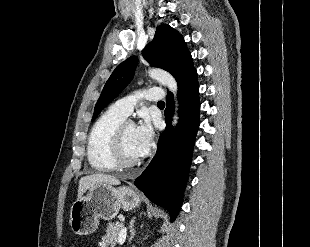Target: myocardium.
I'll use <instances>...</instances> for the list:
<instances>
[{
  "label": "myocardium",
  "instance_id": "obj_1",
  "mask_svg": "<svg viewBox=\"0 0 310 247\" xmlns=\"http://www.w3.org/2000/svg\"><path fill=\"white\" fill-rule=\"evenodd\" d=\"M128 125H133L130 121H123L115 131L112 144V157L118 168H131L141 162V158L128 159L124 152V134Z\"/></svg>",
  "mask_w": 310,
  "mask_h": 247
}]
</instances>
